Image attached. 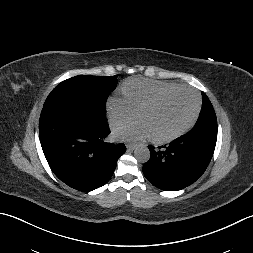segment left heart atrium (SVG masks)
I'll use <instances>...</instances> for the list:
<instances>
[{
    "label": "left heart atrium",
    "mask_w": 253,
    "mask_h": 253,
    "mask_svg": "<svg viewBox=\"0 0 253 253\" xmlns=\"http://www.w3.org/2000/svg\"><path fill=\"white\" fill-rule=\"evenodd\" d=\"M113 137L119 141H139L152 138L148 125L141 119L114 126Z\"/></svg>",
    "instance_id": "1"
}]
</instances>
